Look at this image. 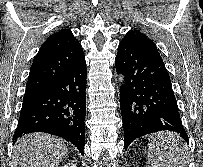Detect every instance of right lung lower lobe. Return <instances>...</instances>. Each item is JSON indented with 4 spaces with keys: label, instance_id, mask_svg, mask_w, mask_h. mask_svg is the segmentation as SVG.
Segmentation results:
<instances>
[{
    "label": "right lung lower lobe",
    "instance_id": "obj_1",
    "mask_svg": "<svg viewBox=\"0 0 203 167\" xmlns=\"http://www.w3.org/2000/svg\"><path fill=\"white\" fill-rule=\"evenodd\" d=\"M86 84L83 57L45 89L25 94L13 140L28 133L45 132L67 139L84 154Z\"/></svg>",
    "mask_w": 203,
    "mask_h": 167
}]
</instances>
